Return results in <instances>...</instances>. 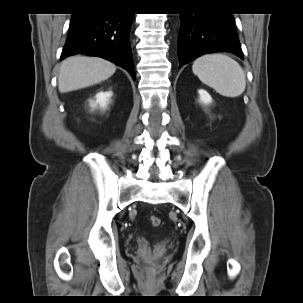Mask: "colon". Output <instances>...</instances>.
I'll list each match as a JSON object with an SVG mask.
<instances>
[{"mask_svg":"<svg viewBox=\"0 0 303 303\" xmlns=\"http://www.w3.org/2000/svg\"><path fill=\"white\" fill-rule=\"evenodd\" d=\"M149 222L152 226H159L161 224V219L156 215H152L149 218Z\"/></svg>","mask_w":303,"mask_h":303,"instance_id":"1","label":"colon"}]
</instances>
